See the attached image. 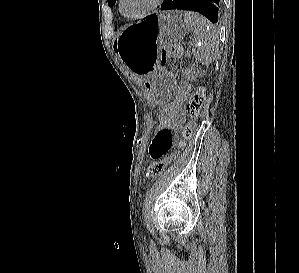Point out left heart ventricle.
I'll list each match as a JSON object with an SVG mask.
<instances>
[{"label":"left heart ventricle","mask_w":299,"mask_h":273,"mask_svg":"<svg viewBox=\"0 0 299 273\" xmlns=\"http://www.w3.org/2000/svg\"><path fill=\"white\" fill-rule=\"evenodd\" d=\"M152 0H124L123 11L126 15H137L143 12Z\"/></svg>","instance_id":"b2bd125f"}]
</instances>
